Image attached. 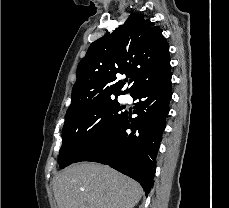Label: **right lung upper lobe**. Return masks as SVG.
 <instances>
[{
	"mask_svg": "<svg viewBox=\"0 0 229 208\" xmlns=\"http://www.w3.org/2000/svg\"><path fill=\"white\" fill-rule=\"evenodd\" d=\"M170 67L169 47L159 26L132 14L112 34L93 42L77 67L72 103L66 117L80 114L104 100L133 94L142 85L163 76ZM124 74L130 77L128 89Z\"/></svg>",
	"mask_w": 229,
	"mask_h": 208,
	"instance_id": "1",
	"label": "right lung upper lobe"
}]
</instances>
